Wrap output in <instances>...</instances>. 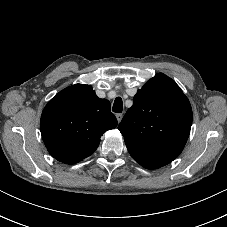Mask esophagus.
<instances>
[{"instance_id": "obj_1", "label": "esophagus", "mask_w": 227, "mask_h": 227, "mask_svg": "<svg viewBox=\"0 0 227 227\" xmlns=\"http://www.w3.org/2000/svg\"><path fill=\"white\" fill-rule=\"evenodd\" d=\"M116 118H117V121L120 122L123 118V114L122 113L116 114Z\"/></svg>"}]
</instances>
